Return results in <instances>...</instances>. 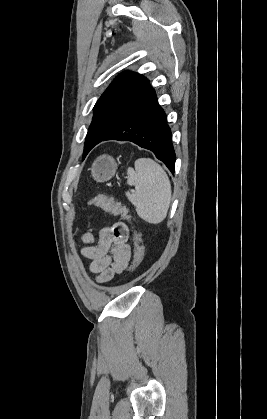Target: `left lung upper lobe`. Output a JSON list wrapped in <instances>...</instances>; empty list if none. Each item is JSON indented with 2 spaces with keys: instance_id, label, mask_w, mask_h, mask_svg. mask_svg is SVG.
<instances>
[{
  "instance_id": "left-lung-upper-lobe-1",
  "label": "left lung upper lobe",
  "mask_w": 267,
  "mask_h": 419,
  "mask_svg": "<svg viewBox=\"0 0 267 419\" xmlns=\"http://www.w3.org/2000/svg\"><path fill=\"white\" fill-rule=\"evenodd\" d=\"M148 85L149 81L138 73L127 71L116 77L94 106V116L85 140L84 154L92 143L111 130L112 114L132 104L139 92Z\"/></svg>"
}]
</instances>
